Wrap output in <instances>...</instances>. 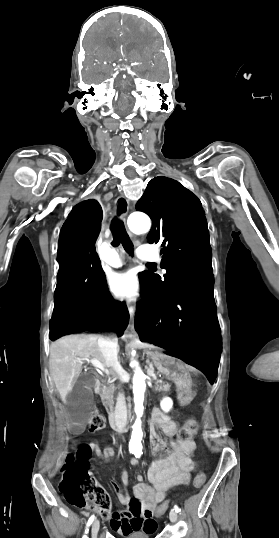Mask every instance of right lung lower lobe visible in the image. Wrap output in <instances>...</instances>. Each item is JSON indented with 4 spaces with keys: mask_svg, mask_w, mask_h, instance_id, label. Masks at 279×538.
Instances as JSON below:
<instances>
[{
    "mask_svg": "<svg viewBox=\"0 0 279 538\" xmlns=\"http://www.w3.org/2000/svg\"><path fill=\"white\" fill-rule=\"evenodd\" d=\"M102 209L95 200L76 205L63 224L57 251L59 271L54 294L50 338L112 326L118 333L128 325L125 303L112 299L95 242Z\"/></svg>",
    "mask_w": 279,
    "mask_h": 538,
    "instance_id": "1",
    "label": "right lung lower lobe"
}]
</instances>
